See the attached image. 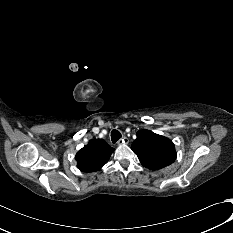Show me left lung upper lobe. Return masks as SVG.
Here are the masks:
<instances>
[{"instance_id": "left-lung-upper-lobe-1", "label": "left lung upper lobe", "mask_w": 233, "mask_h": 233, "mask_svg": "<svg viewBox=\"0 0 233 233\" xmlns=\"http://www.w3.org/2000/svg\"><path fill=\"white\" fill-rule=\"evenodd\" d=\"M131 149L141 164L151 170H159L172 164L176 159L174 143L150 130H140Z\"/></svg>"}]
</instances>
